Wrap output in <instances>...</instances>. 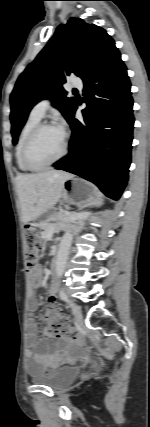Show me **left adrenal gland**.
<instances>
[{
    "instance_id": "a2214340",
    "label": "left adrenal gland",
    "mask_w": 150,
    "mask_h": 427,
    "mask_svg": "<svg viewBox=\"0 0 150 427\" xmlns=\"http://www.w3.org/2000/svg\"><path fill=\"white\" fill-rule=\"evenodd\" d=\"M88 205H85V206H82L80 209H83V208H85V207H87Z\"/></svg>"
}]
</instances>
